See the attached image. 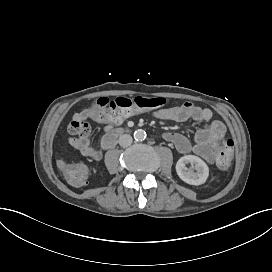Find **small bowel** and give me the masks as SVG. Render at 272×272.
I'll return each mask as SVG.
<instances>
[{"mask_svg": "<svg viewBox=\"0 0 272 272\" xmlns=\"http://www.w3.org/2000/svg\"><path fill=\"white\" fill-rule=\"evenodd\" d=\"M153 115L165 121L186 122L191 120L198 124L208 123L196 130L193 142L178 132H167L164 134V138L181 154L194 153L210 164L215 162V148L217 145H212L209 142V135L212 132H219L223 141L226 127L221 121L212 120L213 113L210 108L200 107L188 101L178 106L157 109L153 112ZM89 119L97 122H106L104 120L105 114L94 108H92ZM78 151L82 156L95 161L102 158V152L91 144L80 147Z\"/></svg>", "mask_w": 272, "mask_h": 272, "instance_id": "obj_1", "label": "small bowel"}]
</instances>
